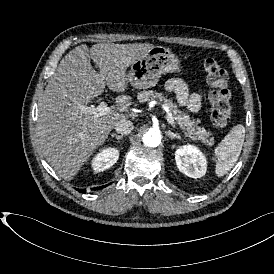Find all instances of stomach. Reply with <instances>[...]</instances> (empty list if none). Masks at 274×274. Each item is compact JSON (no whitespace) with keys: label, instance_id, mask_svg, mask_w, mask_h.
<instances>
[{"label":"stomach","instance_id":"obj_1","mask_svg":"<svg viewBox=\"0 0 274 274\" xmlns=\"http://www.w3.org/2000/svg\"><path fill=\"white\" fill-rule=\"evenodd\" d=\"M183 75L184 68L179 56L169 48L155 46L142 60L131 65V84L137 89L154 87L163 74Z\"/></svg>","mask_w":274,"mask_h":274}]
</instances>
